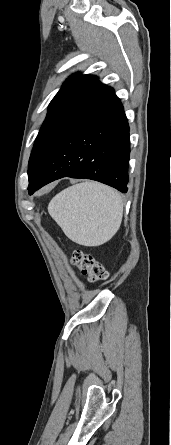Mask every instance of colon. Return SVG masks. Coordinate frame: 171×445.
<instances>
[{
    "label": "colon",
    "mask_w": 171,
    "mask_h": 445,
    "mask_svg": "<svg viewBox=\"0 0 171 445\" xmlns=\"http://www.w3.org/2000/svg\"><path fill=\"white\" fill-rule=\"evenodd\" d=\"M71 263L77 266L92 283L106 280L108 277L106 268L92 254L75 250L71 255Z\"/></svg>",
    "instance_id": "colon-1"
}]
</instances>
